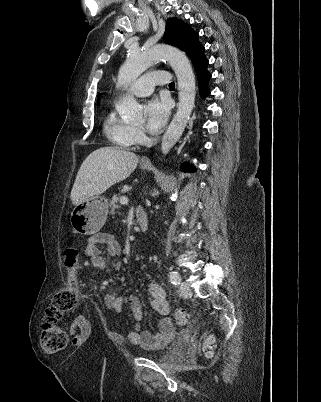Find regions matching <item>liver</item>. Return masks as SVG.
<instances>
[{"instance_id":"1","label":"liver","mask_w":321,"mask_h":402,"mask_svg":"<svg viewBox=\"0 0 321 402\" xmlns=\"http://www.w3.org/2000/svg\"><path fill=\"white\" fill-rule=\"evenodd\" d=\"M139 156L117 147H101L83 161L72 191L73 205L102 194L135 170Z\"/></svg>"}]
</instances>
